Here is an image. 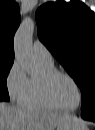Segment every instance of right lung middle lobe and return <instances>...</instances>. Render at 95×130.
Listing matches in <instances>:
<instances>
[{
  "label": "right lung middle lobe",
  "mask_w": 95,
  "mask_h": 130,
  "mask_svg": "<svg viewBox=\"0 0 95 130\" xmlns=\"http://www.w3.org/2000/svg\"><path fill=\"white\" fill-rule=\"evenodd\" d=\"M13 62H0V99L9 100L6 78L12 67Z\"/></svg>",
  "instance_id": "obj_1"
}]
</instances>
